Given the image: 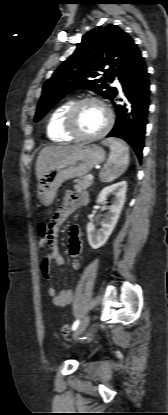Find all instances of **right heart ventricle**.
Wrapping results in <instances>:
<instances>
[{
    "label": "right heart ventricle",
    "instance_id": "e07e8e85",
    "mask_svg": "<svg viewBox=\"0 0 168 415\" xmlns=\"http://www.w3.org/2000/svg\"><path fill=\"white\" fill-rule=\"evenodd\" d=\"M72 103V100H68L57 106L50 114L46 131L47 136L51 141L56 143H64L73 140V138L64 130L63 124L65 113Z\"/></svg>",
    "mask_w": 168,
    "mask_h": 415
}]
</instances>
